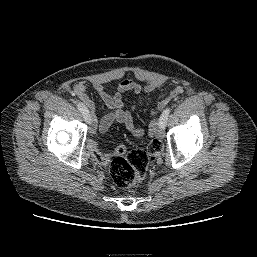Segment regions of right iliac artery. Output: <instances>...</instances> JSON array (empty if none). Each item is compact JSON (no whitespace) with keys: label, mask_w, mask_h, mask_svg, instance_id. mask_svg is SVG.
<instances>
[{"label":"right iliac artery","mask_w":257,"mask_h":257,"mask_svg":"<svg viewBox=\"0 0 257 257\" xmlns=\"http://www.w3.org/2000/svg\"><path fill=\"white\" fill-rule=\"evenodd\" d=\"M78 110L82 113L84 118H87L89 116V110L88 108L80 101L77 102Z\"/></svg>","instance_id":"1"}]
</instances>
